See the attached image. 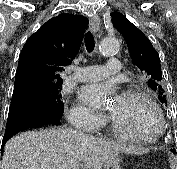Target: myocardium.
<instances>
[{
    "instance_id": "myocardium-1",
    "label": "myocardium",
    "mask_w": 177,
    "mask_h": 169,
    "mask_svg": "<svg viewBox=\"0 0 177 169\" xmlns=\"http://www.w3.org/2000/svg\"><path fill=\"white\" fill-rule=\"evenodd\" d=\"M121 95L129 96V97H139V98H143L144 100H146L157 112L159 119H160L161 128L159 132H157L154 135L130 134L124 129V127L113 116L110 115L109 119L112 125V129L119 135L125 138H129V139H136V140L145 141V142H152L158 139L164 133L165 127H166L165 117L158 103L146 91L138 87H128L122 91Z\"/></svg>"
}]
</instances>
